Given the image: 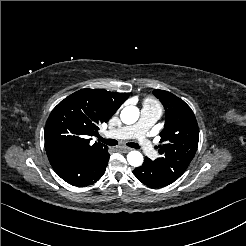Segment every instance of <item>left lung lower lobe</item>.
I'll list each match as a JSON object with an SVG mask.
<instances>
[{
	"mask_svg": "<svg viewBox=\"0 0 246 246\" xmlns=\"http://www.w3.org/2000/svg\"><path fill=\"white\" fill-rule=\"evenodd\" d=\"M134 175L143 184L150 187H164L173 183L175 179L170 173L160 168L155 160L145 158L142 166L135 168Z\"/></svg>",
	"mask_w": 246,
	"mask_h": 246,
	"instance_id": "1",
	"label": "left lung lower lobe"
}]
</instances>
